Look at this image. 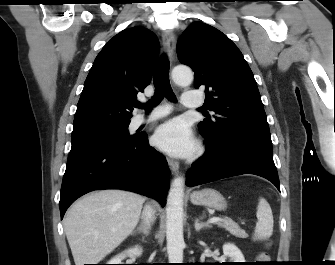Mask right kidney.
<instances>
[{
	"instance_id": "ca27d5eb",
	"label": "right kidney",
	"mask_w": 335,
	"mask_h": 265,
	"mask_svg": "<svg viewBox=\"0 0 335 265\" xmlns=\"http://www.w3.org/2000/svg\"><path fill=\"white\" fill-rule=\"evenodd\" d=\"M142 254V248L140 246H135L134 248L128 249L125 252L115 256L109 264H121V261L127 256L129 257H138Z\"/></svg>"
}]
</instances>
